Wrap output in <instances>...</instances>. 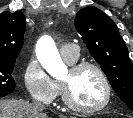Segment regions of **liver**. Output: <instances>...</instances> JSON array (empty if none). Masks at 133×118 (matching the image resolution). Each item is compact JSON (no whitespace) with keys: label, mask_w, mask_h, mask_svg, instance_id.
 <instances>
[{"label":"liver","mask_w":133,"mask_h":118,"mask_svg":"<svg viewBox=\"0 0 133 118\" xmlns=\"http://www.w3.org/2000/svg\"><path fill=\"white\" fill-rule=\"evenodd\" d=\"M0 118H47L32 104L22 100H0Z\"/></svg>","instance_id":"6515ba94"}]
</instances>
